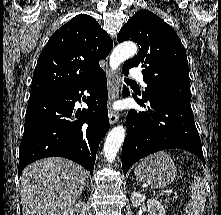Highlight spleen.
<instances>
[{
  "instance_id": "1",
  "label": "spleen",
  "mask_w": 221,
  "mask_h": 215,
  "mask_svg": "<svg viewBox=\"0 0 221 215\" xmlns=\"http://www.w3.org/2000/svg\"><path fill=\"white\" fill-rule=\"evenodd\" d=\"M191 199L184 211L187 215H201L205 207V190L201 178L196 177L190 185Z\"/></svg>"
}]
</instances>
